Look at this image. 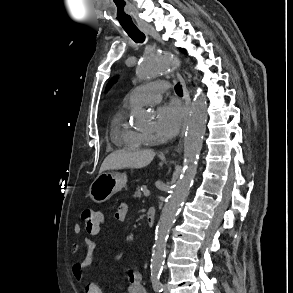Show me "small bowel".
Instances as JSON below:
<instances>
[{"instance_id": "small-bowel-1", "label": "small bowel", "mask_w": 293, "mask_h": 293, "mask_svg": "<svg viewBox=\"0 0 293 293\" xmlns=\"http://www.w3.org/2000/svg\"><path fill=\"white\" fill-rule=\"evenodd\" d=\"M129 206L127 203L122 202L118 205L117 210L114 213V218L118 222H125L128 214ZM105 216L101 213V223L104 224ZM100 226L96 230H88L85 228L86 232L90 236H95L99 233ZM82 228L80 225L76 224L74 226V232L79 234ZM84 243L88 248V253L83 261L76 263L72 267L73 276L78 280L82 281L84 279V270L89 267L93 262L94 252H95V242L90 238L87 237L84 239ZM79 250V245L74 243L72 245V252L77 253ZM142 273L138 269H129L126 273V293H147L143 283H142ZM98 289L99 293H102L101 289L94 283H87L85 285L86 293H94L93 290Z\"/></svg>"}]
</instances>
